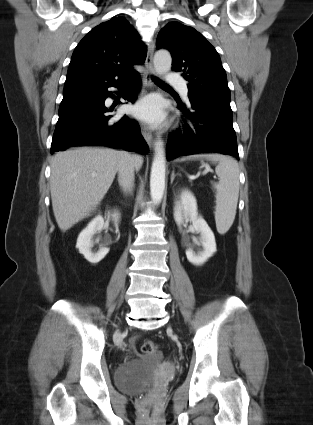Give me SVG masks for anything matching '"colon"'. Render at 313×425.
<instances>
[{"instance_id": "1", "label": "colon", "mask_w": 313, "mask_h": 425, "mask_svg": "<svg viewBox=\"0 0 313 425\" xmlns=\"http://www.w3.org/2000/svg\"><path fill=\"white\" fill-rule=\"evenodd\" d=\"M156 350H157V345L154 342L149 340L142 342L140 345V351L143 354H151V353H154Z\"/></svg>"}]
</instances>
